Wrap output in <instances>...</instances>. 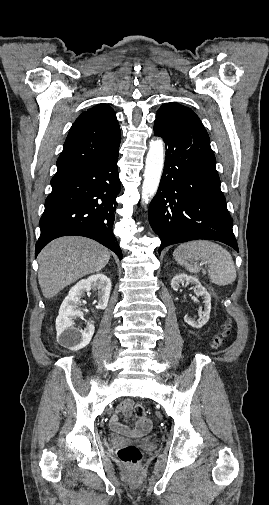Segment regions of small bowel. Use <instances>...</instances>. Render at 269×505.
I'll return each instance as SVG.
<instances>
[{
  "mask_svg": "<svg viewBox=\"0 0 269 505\" xmlns=\"http://www.w3.org/2000/svg\"><path fill=\"white\" fill-rule=\"evenodd\" d=\"M133 407V401L130 399H125L119 406L117 413L113 415L110 419L111 429L119 434L128 436H141L146 434L151 429V421L146 417L140 418L134 428H128L119 421L120 413H130Z\"/></svg>",
  "mask_w": 269,
  "mask_h": 505,
  "instance_id": "obj_1",
  "label": "small bowel"
}]
</instances>
